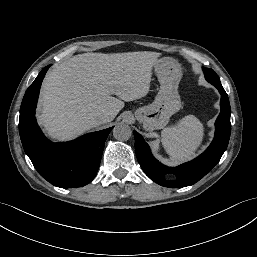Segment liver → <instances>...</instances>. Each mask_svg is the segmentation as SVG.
Here are the masks:
<instances>
[{"instance_id":"6515ba94","label":"liver","mask_w":257,"mask_h":257,"mask_svg":"<svg viewBox=\"0 0 257 257\" xmlns=\"http://www.w3.org/2000/svg\"><path fill=\"white\" fill-rule=\"evenodd\" d=\"M159 56L139 51L70 58L43 81L39 123L51 138L66 140L100 125L96 120L100 114L109 113L111 122L124 107L123 101L147 95Z\"/></svg>"}]
</instances>
